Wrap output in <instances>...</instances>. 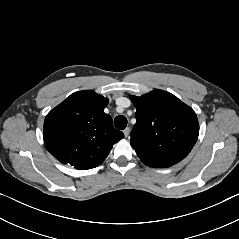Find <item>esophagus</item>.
<instances>
[{"mask_svg":"<svg viewBox=\"0 0 239 239\" xmlns=\"http://www.w3.org/2000/svg\"><path fill=\"white\" fill-rule=\"evenodd\" d=\"M123 133H124V136L127 138L129 136V133H130V128L127 127L126 129H124Z\"/></svg>","mask_w":239,"mask_h":239,"instance_id":"1","label":"esophagus"}]
</instances>
